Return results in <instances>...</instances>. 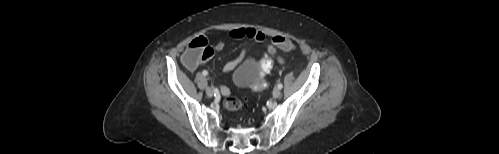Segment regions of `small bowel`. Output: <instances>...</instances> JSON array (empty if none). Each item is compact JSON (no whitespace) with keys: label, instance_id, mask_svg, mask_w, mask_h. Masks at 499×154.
<instances>
[{"label":"small bowel","instance_id":"1","mask_svg":"<svg viewBox=\"0 0 499 154\" xmlns=\"http://www.w3.org/2000/svg\"><path fill=\"white\" fill-rule=\"evenodd\" d=\"M229 37L232 38V39H240V38H244V37H248V38H251L257 42H263L264 39H265V36L262 32H260L259 30L257 29H254V28H238V29H234L232 31L229 32ZM263 47L264 49L266 50V52L275 57V59L279 62V63H283L284 60L281 56L278 55L277 53V49L275 48V46L273 44H266L264 43L263 44ZM213 48L217 51H221L225 48V43L224 42H218L216 43ZM247 55V51L245 49H243L239 56L232 60V61H229L228 63H226L223 67V73H227V72H230L232 71L233 69H235L242 61L243 59L246 57ZM195 67L191 68V69H194ZM221 92L224 94V95H229L230 92H229V89L225 86H222L221 87Z\"/></svg>","mask_w":499,"mask_h":154}]
</instances>
